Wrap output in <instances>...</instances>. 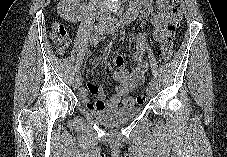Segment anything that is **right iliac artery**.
Segmentation results:
<instances>
[{
	"label": "right iliac artery",
	"instance_id": "right-iliac-artery-1",
	"mask_svg": "<svg viewBox=\"0 0 227 157\" xmlns=\"http://www.w3.org/2000/svg\"><path fill=\"white\" fill-rule=\"evenodd\" d=\"M94 31H99V30H98L97 27H95ZM93 37L95 39L94 40L95 42H99V41H102L103 40V37L102 36H99L98 34H95ZM75 68H77V67H75ZM74 72H75V74H77V75L80 76V72H81L80 69H75Z\"/></svg>",
	"mask_w": 227,
	"mask_h": 157
}]
</instances>
